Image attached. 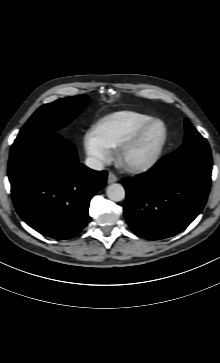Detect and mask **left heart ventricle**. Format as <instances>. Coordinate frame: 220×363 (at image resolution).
<instances>
[{"instance_id": "1", "label": "left heart ventricle", "mask_w": 220, "mask_h": 363, "mask_svg": "<svg viewBox=\"0 0 220 363\" xmlns=\"http://www.w3.org/2000/svg\"><path fill=\"white\" fill-rule=\"evenodd\" d=\"M162 134V127L160 125L151 129L142 141L128 154L129 161H138L146 158L153 150L155 144Z\"/></svg>"}]
</instances>
